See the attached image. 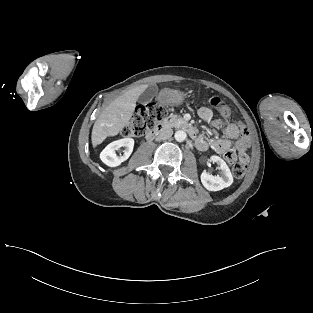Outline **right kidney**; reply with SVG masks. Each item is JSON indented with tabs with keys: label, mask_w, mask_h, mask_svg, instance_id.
<instances>
[{
	"label": "right kidney",
	"mask_w": 313,
	"mask_h": 313,
	"mask_svg": "<svg viewBox=\"0 0 313 313\" xmlns=\"http://www.w3.org/2000/svg\"><path fill=\"white\" fill-rule=\"evenodd\" d=\"M121 147H125L124 154L118 156L116 151ZM134 147V140L132 138H123L108 144L100 153L101 161L109 167L119 166L122 162L127 160L131 155Z\"/></svg>",
	"instance_id": "right-kidney-1"
}]
</instances>
